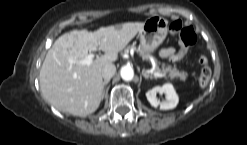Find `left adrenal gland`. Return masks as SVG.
<instances>
[{"label":"left adrenal gland","mask_w":247,"mask_h":145,"mask_svg":"<svg viewBox=\"0 0 247 145\" xmlns=\"http://www.w3.org/2000/svg\"><path fill=\"white\" fill-rule=\"evenodd\" d=\"M142 75L145 79H149V78L154 79V77L152 75L147 74L144 70L142 71Z\"/></svg>","instance_id":"a2214340"}]
</instances>
